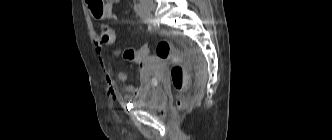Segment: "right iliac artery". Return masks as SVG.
<instances>
[{
	"label": "right iliac artery",
	"mask_w": 332,
	"mask_h": 140,
	"mask_svg": "<svg viewBox=\"0 0 332 140\" xmlns=\"http://www.w3.org/2000/svg\"><path fill=\"white\" fill-rule=\"evenodd\" d=\"M134 11L140 18H142V19L146 18V11L141 4H135Z\"/></svg>",
	"instance_id": "right-iliac-artery-1"
}]
</instances>
